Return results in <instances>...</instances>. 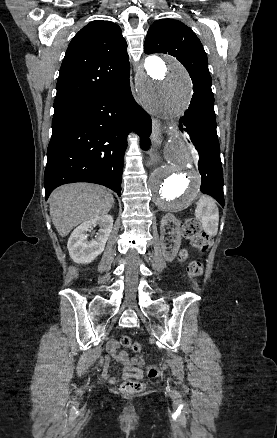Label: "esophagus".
I'll use <instances>...</instances> for the list:
<instances>
[{"label": "esophagus", "instance_id": "34e87169", "mask_svg": "<svg viewBox=\"0 0 277 438\" xmlns=\"http://www.w3.org/2000/svg\"><path fill=\"white\" fill-rule=\"evenodd\" d=\"M141 70V69H140ZM162 134H161V123L156 118L152 119V140L156 145H161L162 143Z\"/></svg>", "mask_w": 277, "mask_h": 438}]
</instances>
